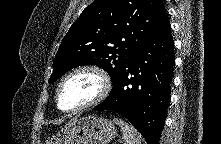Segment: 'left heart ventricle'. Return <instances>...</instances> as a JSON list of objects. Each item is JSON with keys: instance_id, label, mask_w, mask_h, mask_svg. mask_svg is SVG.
I'll return each mask as SVG.
<instances>
[{"instance_id": "left-heart-ventricle-1", "label": "left heart ventricle", "mask_w": 221, "mask_h": 144, "mask_svg": "<svg viewBox=\"0 0 221 144\" xmlns=\"http://www.w3.org/2000/svg\"><path fill=\"white\" fill-rule=\"evenodd\" d=\"M100 90V81L92 73L83 72L71 77L62 87L60 106L64 109L78 107L92 100Z\"/></svg>"}]
</instances>
